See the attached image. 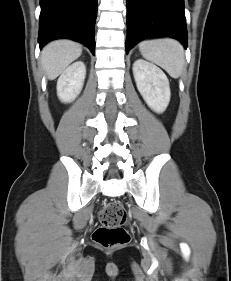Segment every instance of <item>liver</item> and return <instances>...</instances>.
<instances>
[{"label": "liver", "mask_w": 231, "mask_h": 281, "mask_svg": "<svg viewBox=\"0 0 231 281\" xmlns=\"http://www.w3.org/2000/svg\"><path fill=\"white\" fill-rule=\"evenodd\" d=\"M81 53V45L71 40H56L47 44L41 52V63L47 78H57Z\"/></svg>", "instance_id": "liver-1"}]
</instances>
